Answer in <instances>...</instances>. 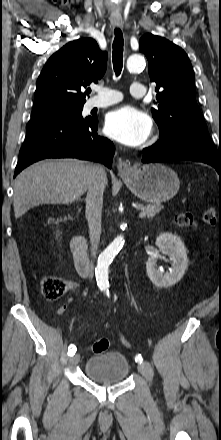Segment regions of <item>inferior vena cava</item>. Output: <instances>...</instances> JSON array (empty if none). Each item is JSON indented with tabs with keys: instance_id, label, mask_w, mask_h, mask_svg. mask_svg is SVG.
<instances>
[{
	"instance_id": "obj_1",
	"label": "inferior vena cava",
	"mask_w": 221,
	"mask_h": 440,
	"mask_svg": "<svg viewBox=\"0 0 221 440\" xmlns=\"http://www.w3.org/2000/svg\"><path fill=\"white\" fill-rule=\"evenodd\" d=\"M107 177L102 165H93L88 185L85 216L89 226L91 255L95 258L100 243L103 192Z\"/></svg>"
}]
</instances>
